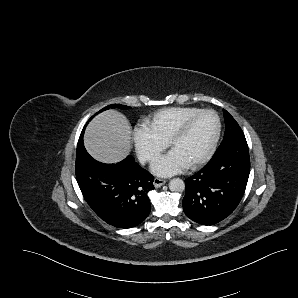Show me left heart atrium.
<instances>
[{
    "mask_svg": "<svg viewBox=\"0 0 298 298\" xmlns=\"http://www.w3.org/2000/svg\"><path fill=\"white\" fill-rule=\"evenodd\" d=\"M187 167L188 165L171 151L155 157L150 165L152 172L162 177L176 175Z\"/></svg>",
    "mask_w": 298,
    "mask_h": 298,
    "instance_id": "1",
    "label": "left heart atrium"
}]
</instances>
